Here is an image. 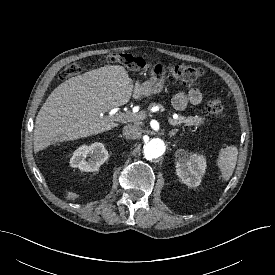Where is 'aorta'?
<instances>
[{
    "instance_id": "aorta-1",
    "label": "aorta",
    "mask_w": 275,
    "mask_h": 275,
    "mask_svg": "<svg viewBox=\"0 0 275 275\" xmlns=\"http://www.w3.org/2000/svg\"><path fill=\"white\" fill-rule=\"evenodd\" d=\"M166 149L164 141L160 138H152L144 144L143 153L147 160L161 157Z\"/></svg>"
}]
</instances>
